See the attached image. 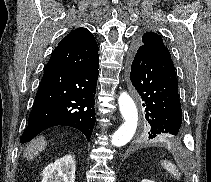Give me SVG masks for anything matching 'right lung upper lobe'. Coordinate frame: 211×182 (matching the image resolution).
<instances>
[{
    "instance_id": "right-lung-upper-lobe-1",
    "label": "right lung upper lobe",
    "mask_w": 211,
    "mask_h": 182,
    "mask_svg": "<svg viewBox=\"0 0 211 182\" xmlns=\"http://www.w3.org/2000/svg\"><path fill=\"white\" fill-rule=\"evenodd\" d=\"M90 32L86 28H78L71 33H69L64 39L67 40H74L78 39L86 34H89Z\"/></svg>"
}]
</instances>
